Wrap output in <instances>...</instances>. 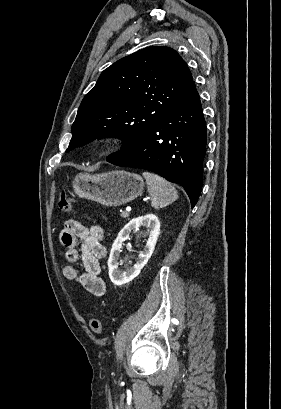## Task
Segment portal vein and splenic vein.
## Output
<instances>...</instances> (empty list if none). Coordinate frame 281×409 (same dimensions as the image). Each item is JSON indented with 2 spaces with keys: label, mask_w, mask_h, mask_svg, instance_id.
Wrapping results in <instances>:
<instances>
[{
  "label": "portal vein and splenic vein",
  "mask_w": 281,
  "mask_h": 409,
  "mask_svg": "<svg viewBox=\"0 0 281 409\" xmlns=\"http://www.w3.org/2000/svg\"><path fill=\"white\" fill-rule=\"evenodd\" d=\"M141 201H142V202H146V201H147V198H146V197H142V198H141ZM126 206H127V205H126ZM120 213L122 214V219H123V220H127V219H128L129 213L127 212L126 209H121V210H120Z\"/></svg>",
  "instance_id": "portal-vein-and-splenic-vein-1"
}]
</instances>
